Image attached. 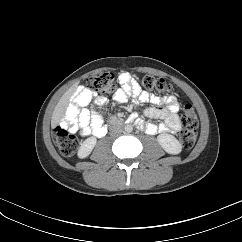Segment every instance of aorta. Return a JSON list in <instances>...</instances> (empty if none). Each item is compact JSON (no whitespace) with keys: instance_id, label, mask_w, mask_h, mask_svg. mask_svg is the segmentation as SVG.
Wrapping results in <instances>:
<instances>
[{"instance_id":"aorta-1","label":"aorta","mask_w":242,"mask_h":242,"mask_svg":"<svg viewBox=\"0 0 242 242\" xmlns=\"http://www.w3.org/2000/svg\"><path fill=\"white\" fill-rule=\"evenodd\" d=\"M124 129H125V132L130 133V132H132L133 127H132V125L127 124Z\"/></svg>"}]
</instances>
